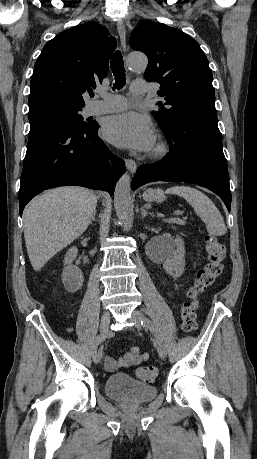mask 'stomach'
<instances>
[{"instance_id": "obj_1", "label": "stomach", "mask_w": 257, "mask_h": 459, "mask_svg": "<svg viewBox=\"0 0 257 459\" xmlns=\"http://www.w3.org/2000/svg\"><path fill=\"white\" fill-rule=\"evenodd\" d=\"M143 198L147 202H161L164 200L165 195L161 189H148L144 192Z\"/></svg>"}]
</instances>
